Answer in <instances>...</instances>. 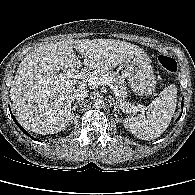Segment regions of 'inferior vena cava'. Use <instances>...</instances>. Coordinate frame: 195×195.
<instances>
[{
  "mask_svg": "<svg viewBox=\"0 0 195 195\" xmlns=\"http://www.w3.org/2000/svg\"><path fill=\"white\" fill-rule=\"evenodd\" d=\"M89 90L84 85L76 86L72 91V99L78 102L85 101L89 97Z\"/></svg>",
  "mask_w": 195,
  "mask_h": 195,
  "instance_id": "602c4592",
  "label": "inferior vena cava"
}]
</instances>
